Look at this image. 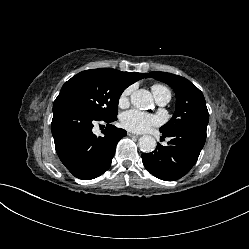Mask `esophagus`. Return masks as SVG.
I'll list each match as a JSON object with an SVG mask.
<instances>
[{
  "mask_svg": "<svg viewBox=\"0 0 249 249\" xmlns=\"http://www.w3.org/2000/svg\"><path fill=\"white\" fill-rule=\"evenodd\" d=\"M128 136L129 137H139V135L138 134H135V133H131V132H128Z\"/></svg>",
  "mask_w": 249,
  "mask_h": 249,
  "instance_id": "obj_1",
  "label": "esophagus"
}]
</instances>
